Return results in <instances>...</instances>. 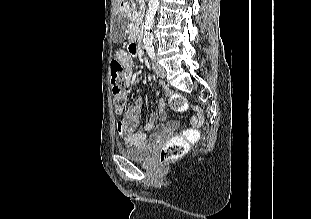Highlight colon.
<instances>
[{
    "mask_svg": "<svg viewBox=\"0 0 311 219\" xmlns=\"http://www.w3.org/2000/svg\"><path fill=\"white\" fill-rule=\"evenodd\" d=\"M136 48H131V52H135ZM124 68L117 59L111 63V81L113 84L112 93L114 98V107L117 113H121L126 106V86L124 80ZM169 104L175 111H184L188 105L185 98L180 94H172L169 96ZM199 139V130L197 128H189L181 135L172 138L164 145L159 152V160L162 164L174 160L184 155L190 145L195 144Z\"/></svg>",
    "mask_w": 311,
    "mask_h": 219,
    "instance_id": "obj_1",
    "label": "colon"
}]
</instances>
